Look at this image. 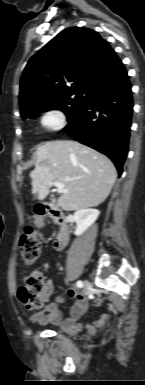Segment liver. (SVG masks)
<instances>
[{
	"label": "liver",
	"instance_id": "6515ba94",
	"mask_svg": "<svg viewBox=\"0 0 145 385\" xmlns=\"http://www.w3.org/2000/svg\"><path fill=\"white\" fill-rule=\"evenodd\" d=\"M35 169L30 173L32 192L43 200L54 181L64 184L58 205L76 211L101 204L109 196L117 178L114 164L96 150L76 141L40 144L35 152Z\"/></svg>",
	"mask_w": 145,
	"mask_h": 385
}]
</instances>
